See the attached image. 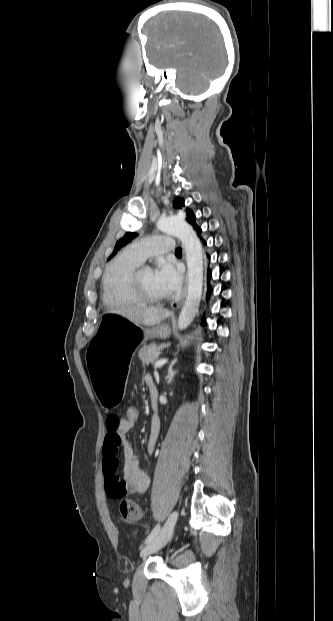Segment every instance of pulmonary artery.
I'll list each match as a JSON object with an SVG mask.
<instances>
[{
  "label": "pulmonary artery",
  "mask_w": 333,
  "mask_h": 621,
  "mask_svg": "<svg viewBox=\"0 0 333 621\" xmlns=\"http://www.w3.org/2000/svg\"><path fill=\"white\" fill-rule=\"evenodd\" d=\"M174 250L172 237L167 235L152 236L132 243L127 252L137 261L143 263L147 258L162 255Z\"/></svg>",
  "instance_id": "e3ab8cb5"
}]
</instances>
